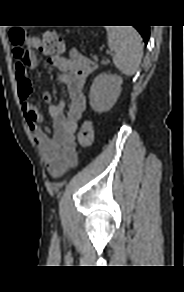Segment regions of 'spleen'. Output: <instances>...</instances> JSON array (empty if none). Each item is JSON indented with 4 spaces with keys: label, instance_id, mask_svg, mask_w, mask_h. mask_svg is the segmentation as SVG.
<instances>
[{
    "label": "spleen",
    "instance_id": "spleen-1",
    "mask_svg": "<svg viewBox=\"0 0 184 292\" xmlns=\"http://www.w3.org/2000/svg\"><path fill=\"white\" fill-rule=\"evenodd\" d=\"M108 45L114 51L113 62L126 76L136 73L143 55L142 39L133 27H108Z\"/></svg>",
    "mask_w": 184,
    "mask_h": 292
}]
</instances>
